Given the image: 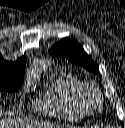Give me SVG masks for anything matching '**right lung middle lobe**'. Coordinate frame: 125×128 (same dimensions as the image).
<instances>
[{
	"label": "right lung middle lobe",
	"instance_id": "1",
	"mask_svg": "<svg viewBox=\"0 0 125 128\" xmlns=\"http://www.w3.org/2000/svg\"><path fill=\"white\" fill-rule=\"evenodd\" d=\"M24 80V73L10 70H0V90L13 92L18 90Z\"/></svg>",
	"mask_w": 125,
	"mask_h": 128
}]
</instances>
